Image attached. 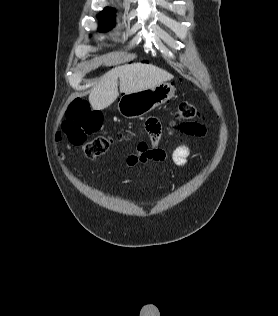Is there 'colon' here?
Returning a JSON list of instances; mask_svg holds the SVG:
<instances>
[{"label":"colon","instance_id":"obj_1","mask_svg":"<svg viewBox=\"0 0 278 316\" xmlns=\"http://www.w3.org/2000/svg\"><path fill=\"white\" fill-rule=\"evenodd\" d=\"M203 119L204 115L194 105L180 102L177 105L174 118L169 123L170 132L173 135L196 136L203 128L201 125ZM102 122L101 113L91 110L87 101L76 99L68 107L66 119L62 124V133L72 144H84L85 155L89 159H96L103 155L114 142L110 136L99 135L85 143L88 135L100 130ZM133 138L132 133H120L116 139L132 140Z\"/></svg>","mask_w":278,"mask_h":316}]
</instances>
